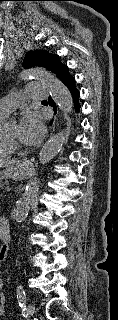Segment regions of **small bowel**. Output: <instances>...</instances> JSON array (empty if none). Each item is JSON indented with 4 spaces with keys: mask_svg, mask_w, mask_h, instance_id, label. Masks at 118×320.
I'll return each mask as SVG.
<instances>
[{
    "mask_svg": "<svg viewBox=\"0 0 118 320\" xmlns=\"http://www.w3.org/2000/svg\"><path fill=\"white\" fill-rule=\"evenodd\" d=\"M3 285H4L3 280L0 278V316L4 315L5 313V303H6L5 295L2 292Z\"/></svg>",
    "mask_w": 118,
    "mask_h": 320,
    "instance_id": "obj_1",
    "label": "small bowel"
}]
</instances>
